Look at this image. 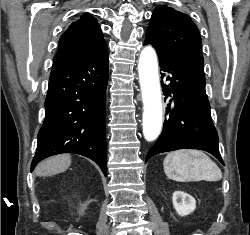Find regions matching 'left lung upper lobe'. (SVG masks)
I'll return each instance as SVG.
<instances>
[{
	"label": "left lung upper lobe",
	"instance_id": "1",
	"mask_svg": "<svg viewBox=\"0 0 250 235\" xmlns=\"http://www.w3.org/2000/svg\"><path fill=\"white\" fill-rule=\"evenodd\" d=\"M157 52L184 53L201 51L202 41L195 23L184 13L171 7L159 5L155 8L146 40Z\"/></svg>",
	"mask_w": 250,
	"mask_h": 235
}]
</instances>
